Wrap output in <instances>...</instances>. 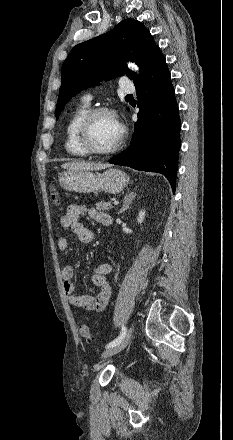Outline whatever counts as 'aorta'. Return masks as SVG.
Listing matches in <instances>:
<instances>
[{
	"mask_svg": "<svg viewBox=\"0 0 233 440\" xmlns=\"http://www.w3.org/2000/svg\"><path fill=\"white\" fill-rule=\"evenodd\" d=\"M134 69H137L135 66H132Z\"/></svg>",
	"mask_w": 233,
	"mask_h": 440,
	"instance_id": "aorta-1",
	"label": "aorta"
}]
</instances>
